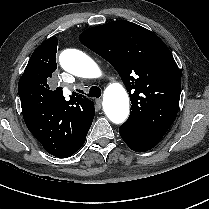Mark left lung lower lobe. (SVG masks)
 <instances>
[{
    "label": "left lung lower lobe",
    "mask_w": 209,
    "mask_h": 209,
    "mask_svg": "<svg viewBox=\"0 0 209 209\" xmlns=\"http://www.w3.org/2000/svg\"><path fill=\"white\" fill-rule=\"evenodd\" d=\"M120 136L124 142L136 152H144L155 147L161 139L151 137L139 128L123 124L119 128Z\"/></svg>",
    "instance_id": "left-lung-lower-lobe-1"
}]
</instances>
